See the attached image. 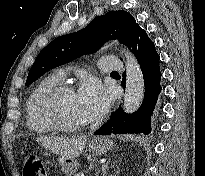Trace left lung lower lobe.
<instances>
[{"label":"left lung lower lobe","instance_id":"0a47b994","mask_svg":"<svg viewBox=\"0 0 205 176\" xmlns=\"http://www.w3.org/2000/svg\"><path fill=\"white\" fill-rule=\"evenodd\" d=\"M129 50L135 55L144 78L145 92L141 107L132 114L116 109L111 119L98 129L95 135L126 134L151 132V115L153 114L158 95L161 91V72L159 68L160 57L155 45L142 28H137L129 44ZM125 79L122 86H125Z\"/></svg>","mask_w":205,"mask_h":176}]
</instances>
